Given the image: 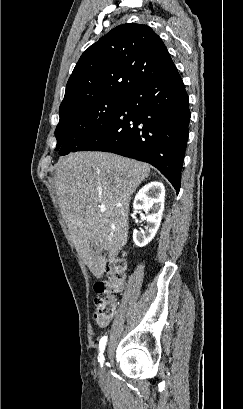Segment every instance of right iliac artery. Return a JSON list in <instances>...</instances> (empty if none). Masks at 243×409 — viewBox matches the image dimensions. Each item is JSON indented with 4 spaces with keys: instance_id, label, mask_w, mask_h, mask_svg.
<instances>
[{
    "instance_id": "obj_1",
    "label": "right iliac artery",
    "mask_w": 243,
    "mask_h": 409,
    "mask_svg": "<svg viewBox=\"0 0 243 409\" xmlns=\"http://www.w3.org/2000/svg\"><path fill=\"white\" fill-rule=\"evenodd\" d=\"M106 342H107V336L102 337L101 340H100V342H99V350H100V353H99V361L101 362V364H102L103 361H104L103 351H104V349H105Z\"/></svg>"
}]
</instances>
